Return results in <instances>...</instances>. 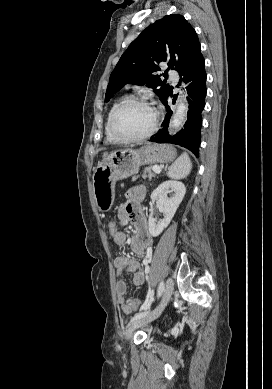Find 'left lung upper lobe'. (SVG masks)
<instances>
[{"instance_id":"1","label":"left lung upper lobe","mask_w":272,"mask_h":389,"mask_svg":"<svg viewBox=\"0 0 272 389\" xmlns=\"http://www.w3.org/2000/svg\"><path fill=\"white\" fill-rule=\"evenodd\" d=\"M200 46L196 31L182 15H167L149 25L130 44L112 71L105 102L125 84L151 87L162 101L169 85L156 74L160 62H168V69L181 72Z\"/></svg>"}]
</instances>
